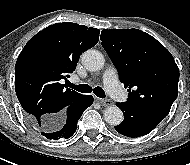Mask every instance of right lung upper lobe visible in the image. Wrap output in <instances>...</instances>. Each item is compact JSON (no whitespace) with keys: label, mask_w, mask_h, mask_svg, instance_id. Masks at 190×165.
Masks as SVG:
<instances>
[{"label":"right lung upper lobe","mask_w":190,"mask_h":165,"mask_svg":"<svg viewBox=\"0 0 190 165\" xmlns=\"http://www.w3.org/2000/svg\"><path fill=\"white\" fill-rule=\"evenodd\" d=\"M100 30L76 23H56L32 37L15 65V89L26 115L40 126L56 119L84 95L62 80L77 66L80 55L99 40Z\"/></svg>","instance_id":"cb5924a9"}]
</instances>
